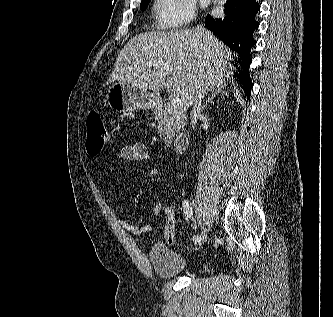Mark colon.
Listing matches in <instances>:
<instances>
[{"mask_svg": "<svg viewBox=\"0 0 333 317\" xmlns=\"http://www.w3.org/2000/svg\"><path fill=\"white\" fill-rule=\"evenodd\" d=\"M109 140V135L100 114L92 110L87 118L86 150L89 155L96 156L101 152ZM161 216L164 221V237L168 244L176 241L177 210L169 204L162 208Z\"/></svg>", "mask_w": 333, "mask_h": 317, "instance_id": "5ec220e1", "label": "colon"}]
</instances>
